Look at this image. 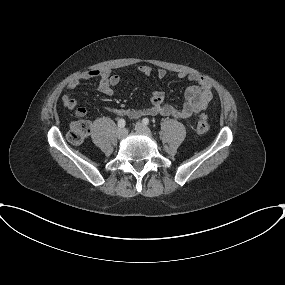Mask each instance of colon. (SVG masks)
I'll return each instance as SVG.
<instances>
[{
  "label": "colon",
  "mask_w": 285,
  "mask_h": 285,
  "mask_svg": "<svg viewBox=\"0 0 285 285\" xmlns=\"http://www.w3.org/2000/svg\"><path fill=\"white\" fill-rule=\"evenodd\" d=\"M90 130V123L87 120L82 119V117H79L71 123L67 139L73 145H80L88 137ZM196 130L199 134H205L208 132L209 123L206 114L200 115L197 121Z\"/></svg>",
  "instance_id": "obj_1"
}]
</instances>
